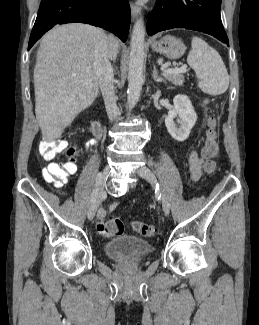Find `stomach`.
I'll use <instances>...</instances> for the list:
<instances>
[{
  "label": "stomach",
  "mask_w": 259,
  "mask_h": 325,
  "mask_svg": "<svg viewBox=\"0 0 259 325\" xmlns=\"http://www.w3.org/2000/svg\"><path fill=\"white\" fill-rule=\"evenodd\" d=\"M151 48L172 60L182 57L186 50L183 41L171 35H166L159 41H153Z\"/></svg>",
  "instance_id": "0dacf381"
}]
</instances>
